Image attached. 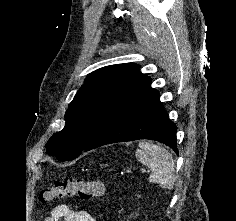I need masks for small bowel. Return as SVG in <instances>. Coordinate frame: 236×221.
<instances>
[{"mask_svg": "<svg viewBox=\"0 0 236 221\" xmlns=\"http://www.w3.org/2000/svg\"><path fill=\"white\" fill-rule=\"evenodd\" d=\"M44 221H96L93 216L75 205L65 203L51 208Z\"/></svg>", "mask_w": 236, "mask_h": 221, "instance_id": "c3829d8e", "label": "small bowel"}]
</instances>
